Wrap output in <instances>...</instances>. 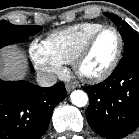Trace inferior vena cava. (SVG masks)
<instances>
[{"mask_svg": "<svg viewBox=\"0 0 139 139\" xmlns=\"http://www.w3.org/2000/svg\"><path fill=\"white\" fill-rule=\"evenodd\" d=\"M57 82V76L51 73L40 72L37 74V83L41 87H50Z\"/></svg>", "mask_w": 139, "mask_h": 139, "instance_id": "1", "label": "inferior vena cava"}]
</instances>
